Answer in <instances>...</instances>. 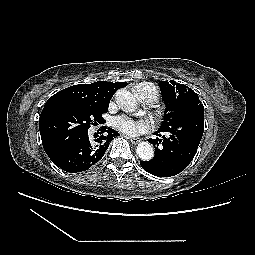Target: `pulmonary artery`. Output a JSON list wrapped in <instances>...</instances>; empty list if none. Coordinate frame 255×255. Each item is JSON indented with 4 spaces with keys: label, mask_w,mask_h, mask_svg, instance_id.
<instances>
[{
    "label": "pulmonary artery",
    "mask_w": 255,
    "mask_h": 255,
    "mask_svg": "<svg viewBox=\"0 0 255 255\" xmlns=\"http://www.w3.org/2000/svg\"><path fill=\"white\" fill-rule=\"evenodd\" d=\"M138 99L147 104H153L158 99V92L148 83H141L134 90Z\"/></svg>",
    "instance_id": "1"
}]
</instances>
